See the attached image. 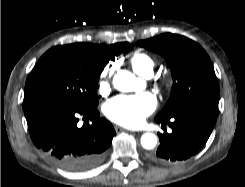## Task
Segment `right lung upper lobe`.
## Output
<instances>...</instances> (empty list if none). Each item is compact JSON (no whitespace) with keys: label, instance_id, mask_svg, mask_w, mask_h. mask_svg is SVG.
Masks as SVG:
<instances>
[{"label":"right lung upper lobe","instance_id":"cb5924a9","mask_svg":"<svg viewBox=\"0 0 245 187\" xmlns=\"http://www.w3.org/2000/svg\"><path fill=\"white\" fill-rule=\"evenodd\" d=\"M123 44H126L125 42L124 43H117V44H113L112 46H118V45H123Z\"/></svg>","mask_w":245,"mask_h":187}]
</instances>
